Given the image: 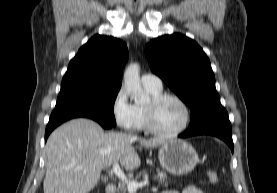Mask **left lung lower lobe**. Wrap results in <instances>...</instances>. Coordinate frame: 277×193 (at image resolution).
Segmentation results:
<instances>
[{
	"instance_id": "0a47b994",
	"label": "left lung lower lobe",
	"mask_w": 277,
	"mask_h": 193,
	"mask_svg": "<svg viewBox=\"0 0 277 193\" xmlns=\"http://www.w3.org/2000/svg\"><path fill=\"white\" fill-rule=\"evenodd\" d=\"M197 135H213L225 141L231 151L234 150L232 140L231 123L226 111L211 114L197 124L190 126L187 131L180 134L179 137L187 138Z\"/></svg>"
}]
</instances>
